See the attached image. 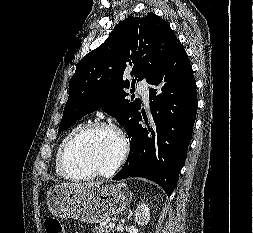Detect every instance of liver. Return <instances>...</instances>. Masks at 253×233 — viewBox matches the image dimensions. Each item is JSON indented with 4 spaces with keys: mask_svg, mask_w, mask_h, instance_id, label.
<instances>
[{
    "mask_svg": "<svg viewBox=\"0 0 253 233\" xmlns=\"http://www.w3.org/2000/svg\"><path fill=\"white\" fill-rule=\"evenodd\" d=\"M99 184H101V183H99V182H91V183H87V184H71L70 186L82 187V186L99 185Z\"/></svg>",
    "mask_w": 253,
    "mask_h": 233,
    "instance_id": "1",
    "label": "liver"
}]
</instances>
